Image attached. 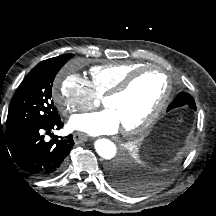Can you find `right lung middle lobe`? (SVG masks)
<instances>
[{
	"instance_id": "1",
	"label": "right lung middle lobe",
	"mask_w": 216,
	"mask_h": 216,
	"mask_svg": "<svg viewBox=\"0 0 216 216\" xmlns=\"http://www.w3.org/2000/svg\"><path fill=\"white\" fill-rule=\"evenodd\" d=\"M73 56L64 54L47 59L29 72L11 99L6 130L49 123L59 118L51 99L52 85L59 70Z\"/></svg>"
}]
</instances>
